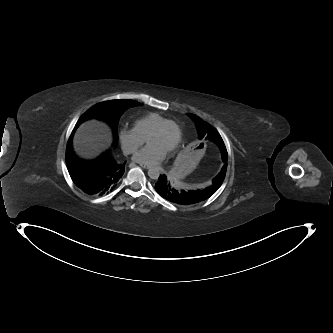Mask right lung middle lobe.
Instances as JSON below:
<instances>
[{"label":"right lung middle lobe","instance_id":"1","mask_svg":"<svg viewBox=\"0 0 333 333\" xmlns=\"http://www.w3.org/2000/svg\"><path fill=\"white\" fill-rule=\"evenodd\" d=\"M141 103L129 100H110L98 103L87 110L78 120L76 127H78L83 121L90 118L103 119L111 124L115 133V144L117 141L116 128L121 115L130 107L139 106Z\"/></svg>","mask_w":333,"mask_h":333}]
</instances>
